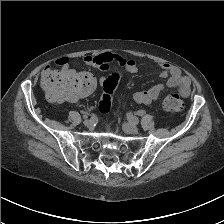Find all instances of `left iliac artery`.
Listing matches in <instances>:
<instances>
[{
    "label": "left iliac artery",
    "mask_w": 224,
    "mask_h": 224,
    "mask_svg": "<svg viewBox=\"0 0 224 224\" xmlns=\"http://www.w3.org/2000/svg\"><path fill=\"white\" fill-rule=\"evenodd\" d=\"M128 119L131 123L133 124H138L139 123V119L131 114L128 115Z\"/></svg>",
    "instance_id": "left-iliac-artery-1"
}]
</instances>
